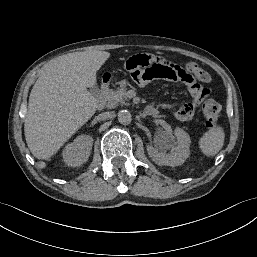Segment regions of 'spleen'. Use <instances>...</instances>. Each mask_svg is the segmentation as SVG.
Returning a JSON list of instances; mask_svg holds the SVG:
<instances>
[{"mask_svg":"<svg viewBox=\"0 0 257 257\" xmlns=\"http://www.w3.org/2000/svg\"><path fill=\"white\" fill-rule=\"evenodd\" d=\"M225 133L222 126H214L201 137L199 147L204 155H216L224 145Z\"/></svg>","mask_w":257,"mask_h":257,"instance_id":"obj_1","label":"spleen"}]
</instances>
